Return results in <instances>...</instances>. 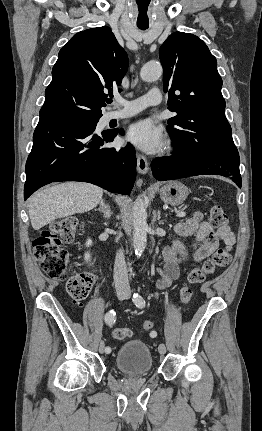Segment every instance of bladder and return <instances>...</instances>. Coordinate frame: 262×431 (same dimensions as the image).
I'll list each match as a JSON object with an SVG mask.
<instances>
[{
    "mask_svg": "<svg viewBox=\"0 0 262 431\" xmlns=\"http://www.w3.org/2000/svg\"><path fill=\"white\" fill-rule=\"evenodd\" d=\"M116 367L128 375H142L153 369L151 350L144 339L136 338L123 343L115 357Z\"/></svg>",
    "mask_w": 262,
    "mask_h": 431,
    "instance_id": "1",
    "label": "bladder"
}]
</instances>
